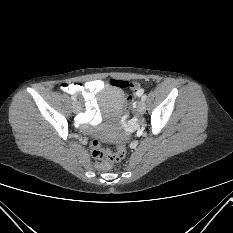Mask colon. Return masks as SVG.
Listing matches in <instances>:
<instances>
[{
  "label": "colon",
  "instance_id": "5ec220e1",
  "mask_svg": "<svg viewBox=\"0 0 233 233\" xmlns=\"http://www.w3.org/2000/svg\"><path fill=\"white\" fill-rule=\"evenodd\" d=\"M112 83L122 88L131 87L137 91V86L135 84H130L127 81L113 80ZM131 100V97H127L125 100L124 115L127 120H129V105ZM91 154L95 159L103 161L100 164V168L107 169L110 163L120 162L124 159L126 155V143H121L115 152H111L103 149L99 141L95 139L91 142Z\"/></svg>",
  "mask_w": 233,
  "mask_h": 233
}]
</instances>
